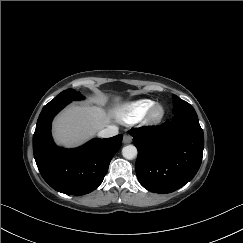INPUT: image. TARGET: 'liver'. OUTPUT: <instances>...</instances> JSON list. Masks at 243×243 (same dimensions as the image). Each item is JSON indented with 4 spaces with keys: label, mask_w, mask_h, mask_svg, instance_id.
<instances>
[{
    "label": "liver",
    "mask_w": 243,
    "mask_h": 243,
    "mask_svg": "<svg viewBox=\"0 0 243 243\" xmlns=\"http://www.w3.org/2000/svg\"><path fill=\"white\" fill-rule=\"evenodd\" d=\"M96 105L73 104L64 109L53 122V137L57 144L75 147L94 136L104 127H108L111 118L118 112L119 97H115V108L106 111L102 96L96 99Z\"/></svg>",
    "instance_id": "1"
}]
</instances>
